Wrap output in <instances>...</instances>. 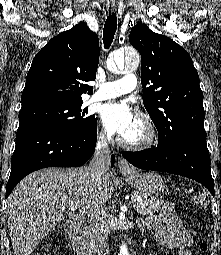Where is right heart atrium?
Wrapping results in <instances>:
<instances>
[{
  "label": "right heart atrium",
  "mask_w": 221,
  "mask_h": 255,
  "mask_svg": "<svg viewBox=\"0 0 221 255\" xmlns=\"http://www.w3.org/2000/svg\"><path fill=\"white\" fill-rule=\"evenodd\" d=\"M106 141H107L106 134H105L103 131H101V132L99 133V135H98V142H99L100 144H104V143H106Z\"/></svg>",
  "instance_id": "right-heart-atrium-1"
}]
</instances>
